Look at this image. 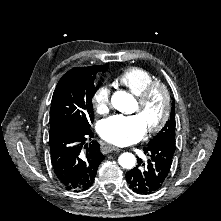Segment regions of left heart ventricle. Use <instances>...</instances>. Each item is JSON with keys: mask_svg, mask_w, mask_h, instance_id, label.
Wrapping results in <instances>:
<instances>
[{"mask_svg": "<svg viewBox=\"0 0 221 221\" xmlns=\"http://www.w3.org/2000/svg\"><path fill=\"white\" fill-rule=\"evenodd\" d=\"M164 109V98L162 93H156L151 100L149 101L147 107L144 110H140L138 103L136 104V107L131 112V115H136L140 118L143 125L147 129L150 126L155 125Z\"/></svg>", "mask_w": 221, "mask_h": 221, "instance_id": "1", "label": "left heart ventricle"}]
</instances>
